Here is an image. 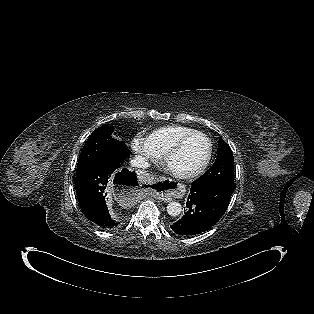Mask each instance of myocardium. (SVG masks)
Listing matches in <instances>:
<instances>
[{
	"label": "myocardium",
	"mask_w": 314,
	"mask_h": 314,
	"mask_svg": "<svg viewBox=\"0 0 314 314\" xmlns=\"http://www.w3.org/2000/svg\"><path fill=\"white\" fill-rule=\"evenodd\" d=\"M194 136H202L208 142V154L205 161L196 169L189 172H179L173 169L170 165L171 159L177 155L183 148L184 144ZM214 146L213 141L206 133L202 131H194L180 138L163 156V164L167 171L171 172L176 177L182 179H192L202 175L209 167L213 159Z\"/></svg>",
	"instance_id": "1"
}]
</instances>
